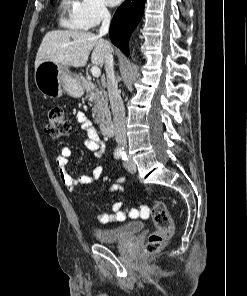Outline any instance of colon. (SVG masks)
<instances>
[{
	"label": "colon",
	"mask_w": 247,
	"mask_h": 296,
	"mask_svg": "<svg viewBox=\"0 0 247 296\" xmlns=\"http://www.w3.org/2000/svg\"><path fill=\"white\" fill-rule=\"evenodd\" d=\"M45 131L53 138H59L70 134L71 123L65 116L61 107H53L50 109ZM139 215L143 217L151 215L155 224V231L149 235L148 241L144 247V253L146 255L158 253L174 232V225L168 208L164 202L155 201L150 209L144 207Z\"/></svg>",
	"instance_id": "1"
}]
</instances>
